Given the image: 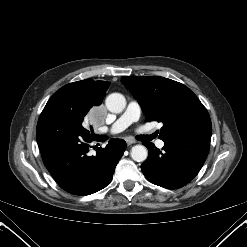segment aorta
Listing matches in <instances>:
<instances>
[{
	"mask_svg": "<svg viewBox=\"0 0 247 247\" xmlns=\"http://www.w3.org/2000/svg\"><path fill=\"white\" fill-rule=\"evenodd\" d=\"M107 109L112 113H120L126 106V99L120 93H112L105 101ZM131 158L136 162H143L147 159L148 151L143 145H135L131 149Z\"/></svg>",
	"mask_w": 247,
	"mask_h": 247,
	"instance_id": "obj_1",
	"label": "aorta"
}]
</instances>
